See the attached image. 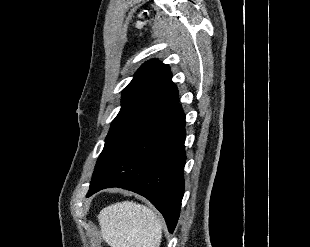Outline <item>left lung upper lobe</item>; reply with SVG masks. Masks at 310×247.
Instances as JSON below:
<instances>
[{
    "mask_svg": "<svg viewBox=\"0 0 310 247\" xmlns=\"http://www.w3.org/2000/svg\"><path fill=\"white\" fill-rule=\"evenodd\" d=\"M177 104L178 90L168 65L155 59L143 64L122 92L121 110L111 124L90 186L142 131Z\"/></svg>",
    "mask_w": 310,
    "mask_h": 247,
    "instance_id": "1",
    "label": "left lung upper lobe"
}]
</instances>
